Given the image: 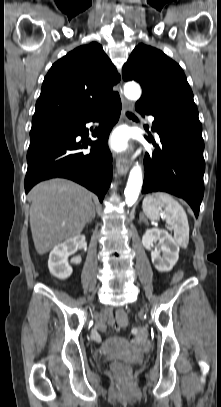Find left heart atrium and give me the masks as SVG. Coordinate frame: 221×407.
I'll return each instance as SVG.
<instances>
[{
	"mask_svg": "<svg viewBox=\"0 0 221 407\" xmlns=\"http://www.w3.org/2000/svg\"><path fill=\"white\" fill-rule=\"evenodd\" d=\"M128 135L125 131L115 132L111 138L110 145L116 151H122L127 148Z\"/></svg>",
	"mask_w": 221,
	"mask_h": 407,
	"instance_id": "39dd6f15",
	"label": "left heart atrium"
}]
</instances>
